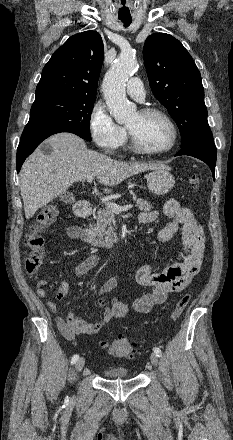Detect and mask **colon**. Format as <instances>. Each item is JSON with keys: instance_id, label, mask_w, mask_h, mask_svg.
Wrapping results in <instances>:
<instances>
[{"instance_id": "obj_1", "label": "colon", "mask_w": 233, "mask_h": 440, "mask_svg": "<svg viewBox=\"0 0 233 440\" xmlns=\"http://www.w3.org/2000/svg\"><path fill=\"white\" fill-rule=\"evenodd\" d=\"M192 188H198L201 179L198 175H192L189 179ZM58 208L55 206H46L39 212L35 224L30 228L26 236V246L29 254L25 261V270L29 275H36L42 266L44 259V241L39 235L43 230L48 228L58 218ZM191 296L186 294L182 296L174 306L171 313L172 320L179 318L190 302ZM102 348L107 349L108 353L117 358L130 359L135 354L134 345L124 336L118 335L115 340L99 342Z\"/></svg>"}]
</instances>
